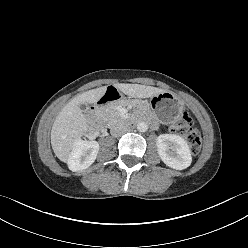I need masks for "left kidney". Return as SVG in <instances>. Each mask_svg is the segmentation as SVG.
Listing matches in <instances>:
<instances>
[{
    "label": "left kidney",
    "instance_id": "5707ae66",
    "mask_svg": "<svg viewBox=\"0 0 248 248\" xmlns=\"http://www.w3.org/2000/svg\"><path fill=\"white\" fill-rule=\"evenodd\" d=\"M158 154L169 167L183 170L192 162L191 151L187 142L175 134H161L156 139Z\"/></svg>",
    "mask_w": 248,
    "mask_h": 248
}]
</instances>
